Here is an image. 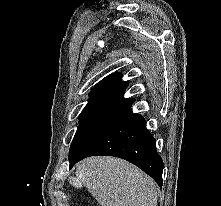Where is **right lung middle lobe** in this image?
<instances>
[{
  "mask_svg": "<svg viewBox=\"0 0 221 206\" xmlns=\"http://www.w3.org/2000/svg\"><path fill=\"white\" fill-rule=\"evenodd\" d=\"M126 110L127 108L106 106L84 108L79 118L80 125L70 147L69 161L78 158Z\"/></svg>",
  "mask_w": 221,
  "mask_h": 206,
  "instance_id": "1",
  "label": "right lung middle lobe"
}]
</instances>
